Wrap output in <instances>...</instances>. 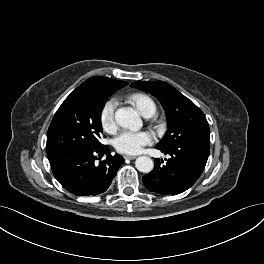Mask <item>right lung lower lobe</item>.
I'll use <instances>...</instances> for the list:
<instances>
[{
	"label": "right lung lower lobe",
	"mask_w": 264,
	"mask_h": 264,
	"mask_svg": "<svg viewBox=\"0 0 264 264\" xmlns=\"http://www.w3.org/2000/svg\"><path fill=\"white\" fill-rule=\"evenodd\" d=\"M103 154H107L106 159L97 163L96 160ZM48 159L55 178L67 191L77 196L105 192L124 162L122 156L109 154L107 145L99 149L73 148Z\"/></svg>",
	"instance_id": "98d812e1"
}]
</instances>
